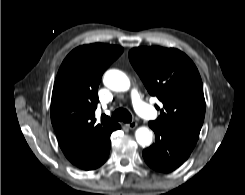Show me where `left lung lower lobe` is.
I'll return each instance as SVG.
<instances>
[{
	"label": "left lung lower lobe",
	"instance_id": "left-lung-lower-lobe-1",
	"mask_svg": "<svg viewBox=\"0 0 245 195\" xmlns=\"http://www.w3.org/2000/svg\"><path fill=\"white\" fill-rule=\"evenodd\" d=\"M149 126L155 132L156 143L143 151L144 160L160 172L175 170L189 157L197 139L173 129Z\"/></svg>",
	"mask_w": 245,
	"mask_h": 195
}]
</instances>
